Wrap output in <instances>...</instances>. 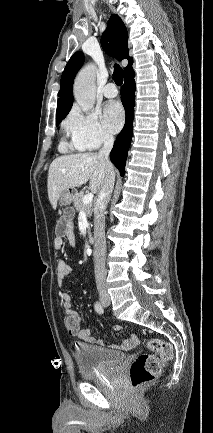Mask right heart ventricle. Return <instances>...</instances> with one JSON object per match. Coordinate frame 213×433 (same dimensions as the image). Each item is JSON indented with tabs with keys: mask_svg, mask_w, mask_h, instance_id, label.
Returning <instances> with one entry per match:
<instances>
[{
	"mask_svg": "<svg viewBox=\"0 0 213 433\" xmlns=\"http://www.w3.org/2000/svg\"><path fill=\"white\" fill-rule=\"evenodd\" d=\"M68 148H75V149H78V150H82V149H80V148L75 147V146L73 145V143H72L71 145H68L65 141H62V142L60 143V149H61V150L65 151V150H67Z\"/></svg>",
	"mask_w": 213,
	"mask_h": 433,
	"instance_id": "obj_1",
	"label": "right heart ventricle"
}]
</instances>
